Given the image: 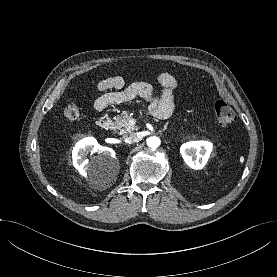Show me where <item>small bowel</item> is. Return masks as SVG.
<instances>
[{
    "mask_svg": "<svg viewBox=\"0 0 277 277\" xmlns=\"http://www.w3.org/2000/svg\"><path fill=\"white\" fill-rule=\"evenodd\" d=\"M158 80L163 87L160 94L147 82H133L126 85L121 76L101 80L97 85V89L102 94L95 100L94 109L102 111L110 105L128 102L136 97H141L149 102V112L153 116L166 119L173 110V98L177 82L167 72L161 73Z\"/></svg>",
    "mask_w": 277,
    "mask_h": 277,
    "instance_id": "small-bowel-1",
    "label": "small bowel"
}]
</instances>
